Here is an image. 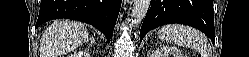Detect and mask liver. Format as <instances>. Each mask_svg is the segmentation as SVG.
<instances>
[{
  "mask_svg": "<svg viewBox=\"0 0 249 57\" xmlns=\"http://www.w3.org/2000/svg\"><path fill=\"white\" fill-rule=\"evenodd\" d=\"M88 36L85 25L80 22H54L41 38V57H59L74 51L88 40Z\"/></svg>",
  "mask_w": 249,
  "mask_h": 57,
  "instance_id": "1",
  "label": "liver"
}]
</instances>
